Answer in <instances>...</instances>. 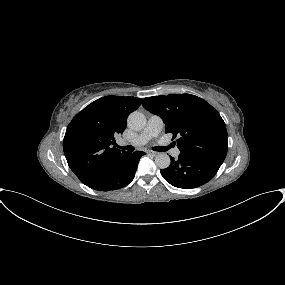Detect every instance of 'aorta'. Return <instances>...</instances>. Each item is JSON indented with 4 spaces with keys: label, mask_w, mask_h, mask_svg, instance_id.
Instances as JSON below:
<instances>
[{
    "label": "aorta",
    "mask_w": 285,
    "mask_h": 285,
    "mask_svg": "<svg viewBox=\"0 0 285 285\" xmlns=\"http://www.w3.org/2000/svg\"><path fill=\"white\" fill-rule=\"evenodd\" d=\"M146 117L139 111L132 112L128 117V125L131 129L140 131L144 129L146 125ZM170 157L166 153H160L155 157V164L160 169H166L170 165Z\"/></svg>",
    "instance_id": "1"
}]
</instances>
